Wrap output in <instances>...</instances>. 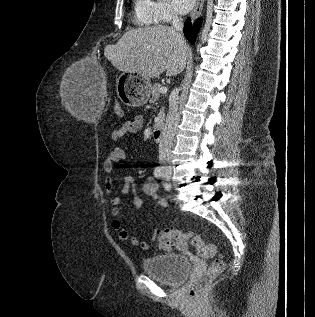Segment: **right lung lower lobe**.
<instances>
[{
  "mask_svg": "<svg viewBox=\"0 0 315 317\" xmlns=\"http://www.w3.org/2000/svg\"><path fill=\"white\" fill-rule=\"evenodd\" d=\"M200 27V21H197L191 26L190 18H188L184 25V34L186 38L193 44L195 42L197 31Z\"/></svg>",
  "mask_w": 315,
  "mask_h": 317,
  "instance_id": "right-lung-lower-lobe-1",
  "label": "right lung lower lobe"
}]
</instances>
